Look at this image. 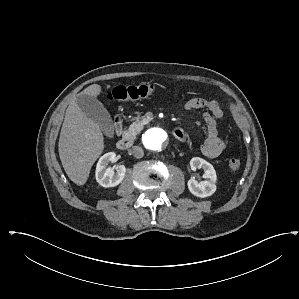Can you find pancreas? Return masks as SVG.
<instances>
[{"label":"pancreas","instance_id":"cf45deb5","mask_svg":"<svg viewBox=\"0 0 299 299\" xmlns=\"http://www.w3.org/2000/svg\"><path fill=\"white\" fill-rule=\"evenodd\" d=\"M146 124V120L142 118L141 120H137L133 122L129 128L124 131L123 138L124 139H132L134 140L138 133L143 129V126Z\"/></svg>","mask_w":299,"mask_h":299}]
</instances>
